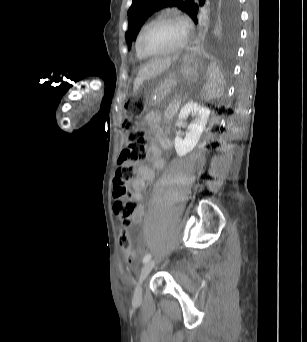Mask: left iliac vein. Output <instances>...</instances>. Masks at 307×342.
<instances>
[{
    "label": "left iliac vein",
    "instance_id": "1",
    "mask_svg": "<svg viewBox=\"0 0 307 342\" xmlns=\"http://www.w3.org/2000/svg\"><path fill=\"white\" fill-rule=\"evenodd\" d=\"M154 265H155V261L149 260L142 267L141 274L139 277V282L137 284L135 294H134V298H133L134 301H138V302L142 301V283L144 282V280L148 276L149 272L153 269Z\"/></svg>",
    "mask_w": 307,
    "mask_h": 342
}]
</instances>
